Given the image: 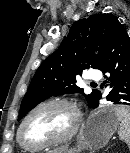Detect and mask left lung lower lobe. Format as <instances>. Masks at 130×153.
Masks as SVG:
<instances>
[{"label": "left lung lower lobe", "instance_id": "obj_1", "mask_svg": "<svg viewBox=\"0 0 130 153\" xmlns=\"http://www.w3.org/2000/svg\"><path fill=\"white\" fill-rule=\"evenodd\" d=\"M110 81V92L107 100L113 104L130 106V38L126 30L121 31L111 43L107 58L99 69ZM101 93L91 106L98 107Z\"/></svg>", "mask_w": 130, "mask_h": 153}]
</instances>
